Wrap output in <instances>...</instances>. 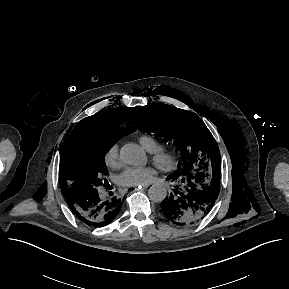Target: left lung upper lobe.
Instances as JSON below:
<instances>
[{"label":"left lung upper lobe","instance_id":"left-lung-upper-lobe-1","mask_svg":"<svg viewBox=\"0 0 289 289\" xmlns=\"http://www.w3.org/2000/svg\"><path fill=\"white\" fill-rule=\"evenodd\" d=\"M136 110L139 130L171 139L181 151L182 161L169 179L181 180L195 174L204 178L221 175L218 145L196 114L161 103H151Z\"/></svg>","mask_w":289,"mask_h":289}]
</instances>
